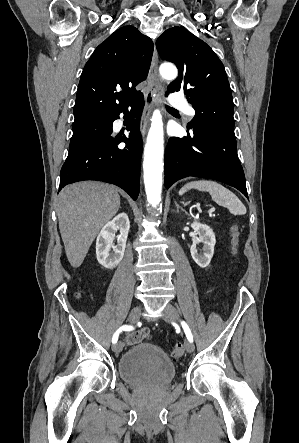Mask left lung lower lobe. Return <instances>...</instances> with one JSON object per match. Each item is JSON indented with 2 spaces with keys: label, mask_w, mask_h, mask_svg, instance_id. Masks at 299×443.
<instances>
[{
  "label": "left lung lower lobe",
  "mask_w": 299,
  "mask_h": 443,
  "mask_svg": "<svg viewBox=\"0 0 299 443\" xmlns=\"http://www.w3.org/2000/svg\"><path fill=\"white\" fill-rule=\"evenodd\" d=\"M165 187L188 177L221 181L237 188L247 198L245 176L236 153L233 135L202 126L183 138H170L164 160Z\"/></svg>",
  "instance_id": "0a47b994"
}]
</instances>
